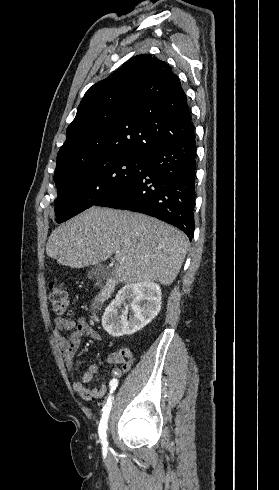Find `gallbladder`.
I'll return each instance as SVG.
<instances>
[{
  "label": "gallbladder",
  "mask_w": 279,
  "mask_h": 490,
  "mask_svg": "<svg viewBox=\"0 0 279 490\" xmlns=\"http://www.w3.org/2000/svg\"><path fill=\"white\" fill-rule=\"evenodd\" d=\"M112 274L111 268H106V266H94L89 270L87 276L89 280H95V282H99V284H104L107 278H110Z\"/></svg>",
  "instance_id": "1"
}]
</instances>
